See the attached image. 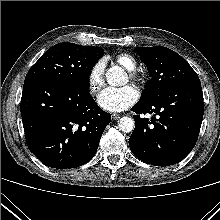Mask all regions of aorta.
<instances>
[{
	"instance_id": "1",
	"label": "aorta",
	"mask_w": 220,
	"mask_h": 220,
	"mask_svg": "<svg viewBox=\"0 0 220 220\" xmlns=\"http://www.w3.org/2000/svg\"><path fill=\"white\" fill-rule=\"evenodd\" d=\"M107 83L112 86H120L125 83L124 71L119 66H113L106 72ZM120 131L124 133H130L134 130L135 123L131 117L124 116L118 122Z\"/></svg>"
}]
</instances>
